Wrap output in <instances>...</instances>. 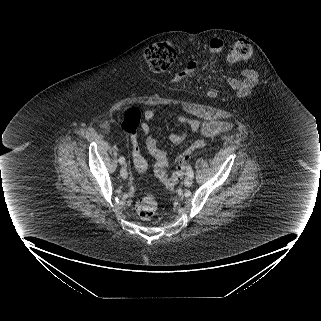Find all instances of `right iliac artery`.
<instances>
[{"mask_svg":"<svg viewBox=\"0 0 321 321\" xmlns=\"http://www.w3.org/2000/svg\"><path fill=\"white\" fill-rule=\"evenodd\" d=\"M119 163L120 164H124L125 163V158L124 157H120L119 158Z\"/></svg>","mask_w":321,"mask_h":321,"instance_id":"82829eb1","label":"right iliac artery"}]
</instances>
